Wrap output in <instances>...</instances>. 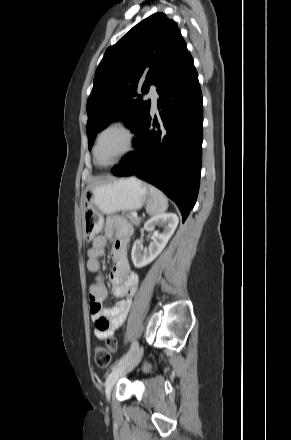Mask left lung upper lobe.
<instances>
[{
    "label": "left lung upper lobe",
    "mask_w": 291,
    "mask_h": 440,
    "mask_svg": "<svg viewBox=\"0 0 291 440\" xmlns=\"http://www.w3.org/2000/svg\"><path fill=\"white\" fill-rule=\"evenodd\" d=\"M187 52L176 23L163 13L144 19L109 47L87 101L89 149L96 133L113 120L128 121L136 134L151 104L141 95L135 98L137 89L146 94L151 84L158 87Z\"/></svg>",
    "instance_id": "5c2ea615"
}]
</instances>
